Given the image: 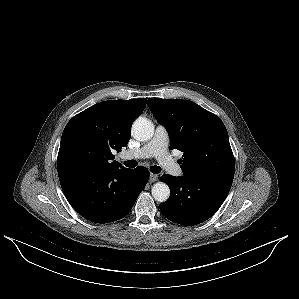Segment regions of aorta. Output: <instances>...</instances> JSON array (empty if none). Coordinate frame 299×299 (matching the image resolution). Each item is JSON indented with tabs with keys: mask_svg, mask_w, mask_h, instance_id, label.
<instances>
[{
	"mask_svg": "<svg viewBox=\"0 0 299 299\" xmlns=\"http://www.w3.org/2000/svg\"><path fill=\"white\" fill-rule=\"evenodd\" d=\"M132 136L138 141H148L154 134V126L147 118H137L131 128ZM151 193L158 202H165L170 196V189L167 184L157 182L152 186Z\"/></svg>",
	"mask_w": 299,
	"mask_h": 299,
	"instance_id": "obj_1",
	"label": "aorta"
}]
</instances>
